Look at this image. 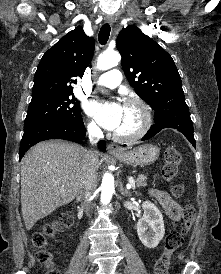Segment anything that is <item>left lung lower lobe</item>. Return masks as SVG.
Returning a JSON list of instances; mask_svg holds the SVG:
<instances>
[{"mask_svg":"<svg viewBox=\"0 0 221 274\" xmlns=\"http://www.w3.org/2000/svg\"><path fill=\"white\" fill-rule=\"evenodd\" d=\"M155 124L151 126L142 141L148 140L164 128H174L183 133L190 143L196 148L193 135V124L190 118L189 108L185 102L155 115Z\"/></svg>","mask_w":221,"mask_h":274,"instance_id":"1","label":"left lung lower lobe"}]
</instances>
